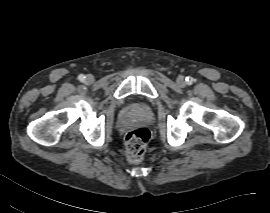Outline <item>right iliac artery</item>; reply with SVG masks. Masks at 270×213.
I'll use <instances>...</instances> for the list:
<instances>
[{
  "instance_id": "82829eb1",
  "label": "right iliac artery",
  "mask_w": 270,
  "mask_h": 213,
  "mask_svg": "<svg viewBox=\"0 0 270 213\" xmlns=\"http://www.w3.org/2000/svg\"><path fill=\"white\" fill-rule=\"evenodd\" d=\"M78 79H79L80 81H84V80H85V76H84L83 74H80V75L78 76Z\"/></svg>"
}]
</instances>
